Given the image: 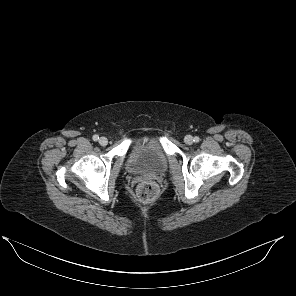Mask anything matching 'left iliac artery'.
<instances>
[{
    "mask_svg": "<svg viewBox=\"0 0 296 296\" xmlns=\"http://www.w3.org/2000/svg\"><path fill=\"white\" fill-rule=\"evenodd\" d=\"M199 140H200L199 137L196 136V137H194V140L193 141L194 142H199Z\"/></svg>",
    "mask_w": 296,
    "mask_h": 296,
    "instance_id": "obj_1",
    "label": "left iliac artery"
}]
</instances>
